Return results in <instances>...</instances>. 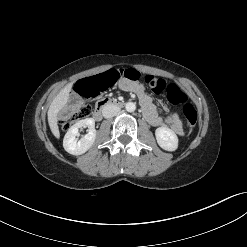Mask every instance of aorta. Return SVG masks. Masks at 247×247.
Wrapping results in <instances>:
<instances>
[{
	"mask_svg": "<svg viewBox=\"0 0 247 247\" xmlns=\"http://www.w3.org/2000/svg\"><path fill=\"white\" fill-rule=\"evenodd\" d=\"M125 108H126V111L128 112H134L136 109V105L133 102H128L126 103Z\"/></svg>",
	"mask_w": 247,
	"mask_h": 247,
	"instance_id": "obj_1",
	"label": "aorta"
}]
</instances>
